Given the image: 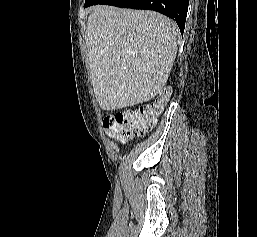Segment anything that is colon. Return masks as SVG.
Here are the masks:
<instances>
[{
	"label": "colon",
	"mask_w": 257,
	"mask_h": 237,
	"mask_svg": "<svg viewBox=\"0 0 257 237\" xmlns=\"http://www.w3.org/2000/svg\"><path fill=\"white\" fill-rule=\"evenodd\" d=\"M169 93L168 89H164L150 104L140 107L138 111L117 112L105 118L104 130L122 139L142 135L155 125L167 104Z\"/></svg>",
	"instance_id": "obj_1"
}]
</instances>
